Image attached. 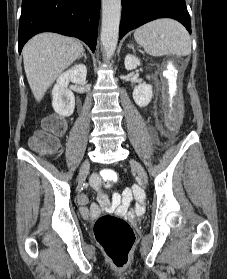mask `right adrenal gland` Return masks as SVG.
I'll return each instance as SVG.
<instances>
[{"instance_id": "1", "label": "right adrenal gland", "mask_w": 227, "mask_h": 279, "mask_svg": "<svg viewBox=\"0 0 227 279\" xmlns=\"http://www.w3.org/2000/svg\"><path fill=\"white\" fill-rule=\"evenodd\" d=\"M82 57H84L85 59H87V56L85 54V50H83L82 54L78 57V59H81Z\"/></svg>"}]
</instances>
